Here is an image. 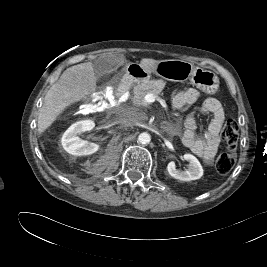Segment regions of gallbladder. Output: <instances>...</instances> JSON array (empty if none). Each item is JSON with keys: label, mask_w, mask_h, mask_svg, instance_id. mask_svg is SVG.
Returning <instances> with one entry per match:
<instances>
[{"label": "gallbladder", "mask_w": 267, "mask_h": 267, "mask_svg": "<svg viewBox=\"0 0 267 267\" xmlns=\"http://www.w3.org/2000/svg\"><path fill=\"white\" fill-rule=\"evenodd\" d=\"M120 61H122V58L119 56L98 58L94 65L97 78L110 73Z\"/></svg>", "instance_id": "obj_1"}]
</instances>
